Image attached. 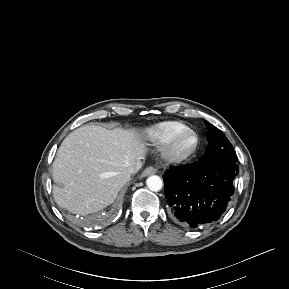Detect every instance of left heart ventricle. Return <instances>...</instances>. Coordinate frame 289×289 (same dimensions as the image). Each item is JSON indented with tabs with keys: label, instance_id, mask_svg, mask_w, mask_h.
Returning <instances> with one entry per match:
<instances>
[{
	"label": "left heart ventricle",
	"instance_id": "1",
	"mask_svg": "<svg viewBox=\"0 0 289 289\" xmlns=\"http://www.w3.org/2000/svg\"><path fill=\"white\" fill-rule=\"evenodd\" d=\"M195 143V139L192 135L185 136L182 138L178 144V149L180 151H188L190 150Z\"/></svg>",
	"mask_w": 289,
	"mask_h": 289
}]
</instances>
